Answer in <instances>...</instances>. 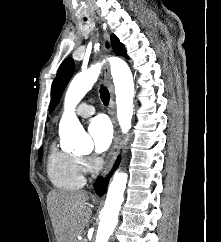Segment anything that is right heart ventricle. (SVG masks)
I'll return each instance as SVG.
<instances>
[{"label": "right heart ventricle", "mask_w": 221, "mask_h": 242, "mask_svg": "<svg viewBox=\"0 0 221 242\" xmlns=\"http://www.w3.org/2000/svg\"><path fill=\"white\" fill-rule=\"evenodd\" d=\"M46 171L49 181L57 189H77L85 182L79 157L58 149L55 143L49 148Z\"/></svg>", "instance_id": "e07e8e85"}]
</instances>
